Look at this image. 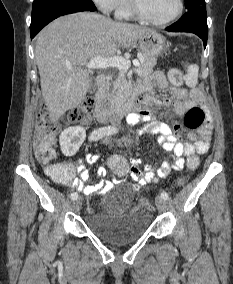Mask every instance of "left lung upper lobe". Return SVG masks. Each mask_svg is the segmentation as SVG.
Wrapping results in <instances>:
<instances>
[{
  "label": "left lung upper lobe",
  "mask_w": 233,
  "mask_h": 284,
  "mask_svg": "<svg viewBox=\"0 0 233 284\" xmlns=\"http://www.w3.org/2000/svg\"><path fill=\"white\" fill-rule=\"evenodd\" d=\"M185 7L190 11L192 8L205 4V0H184Z\"/></svg>",
  "instance_id": "obj_1"
}]
</instances>
